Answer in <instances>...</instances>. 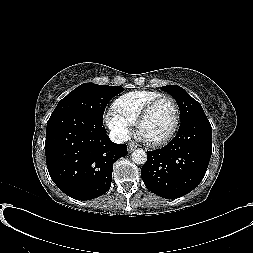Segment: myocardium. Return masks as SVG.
<instances>
[{"label": "myocardium", "mask_w": 253, "mask_h": 253, "mask_svg": "<svg viewBox=\"0 0 253 253\" xmlns=\"http://www.w3.org/2000/svg\"><path fill=\"white\" fill-rule=\"evenodd\" d=\"M165 100L170 101L173 104L174 109H175V121H174V125H173L172 129L170 130V132L165 137H163L162 139H159V140L151 141V140L143 138L142 135H141V128H142L144 122L150 116V114L152 113L154 108L159 103H161L162 101H165ZM180 121H181V111H180V107H179L178 102L171 96L163 95V96H160V97L152 100L143 109V111L139 115V117L136 121V124H135L136 125V134L148 146H152V147L164 146V145L168 144L174 138V136L176 135V133L178 131V128H179V125H180Z\"/></svg>", "instance_id": "obj_1"}]
</instances>
